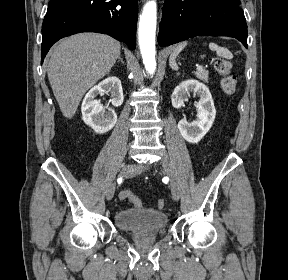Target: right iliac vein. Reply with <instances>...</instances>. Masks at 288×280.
<instances>
[{
    "label": "right iliac vein",
    "instance_id": "63e3f726",
    "mask_svg": "<svg viewBox=\"0 0 288 280\" xmlns=\"http://www.w3.org/2000/svg\"><path fill=\"white\" fill-rule=\"evenodd\" d=\"M132 168L131 165H125L120 173H119V176H125L126 174H128V172L130 171V169ZM114 193H115V183H112L109 185V187L107 188V191H106V199L107 200H111L114 196Z\"/></svg>",
    "mask_w": 288,
    "mask_h": 280
}]
</instances>
